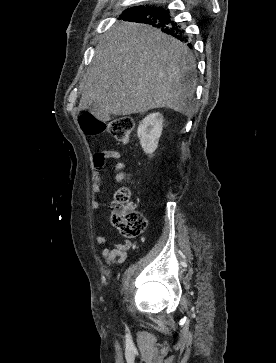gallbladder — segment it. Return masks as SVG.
Here are the masks:
<instances>
[{"label": "gallbladder", "mask_w": 276, "mask_h": 363, "mask_svg": "<svg viewBox=\"0 0 276 363\" xmlns=\"http://www.w3.org/2000/svg\"><path fill=\"white\" fill-rule=\"evenodd\" d=\"M89 111L91 113L100 112V106L94 103L92 106L89 107ZM109 117H110L109 114H102L100 116V120L101 121H106V120L109 119Z\"/></svg>", "instance_id": "1"}]
</instances>
